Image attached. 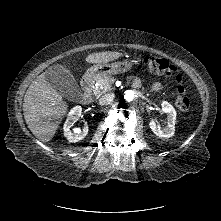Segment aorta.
Listing matches in <instances>:
<instances>
[{
	"label": "aorta",
	"mask_w": 221,
	"mask_h": 221,
	"mask_svg": "<svg viewBox=\"0 0 221 221\" xmlns=\"http://www.w3.org/2000/svg\"><path fill=\"white\" fill-rule=\"evenodd\" d=\"M134 98V92L133 91H126L124 95V99L128 102L132 101Z\"/></svg>",
	"instance_id": "1"
}]
</instances>
